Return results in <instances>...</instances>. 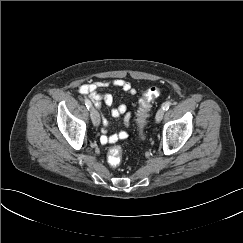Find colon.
<instances>
[{"instance_id": "obj_1", "label": "colon", "mask_w": 243, "mask_h": 243, "mask_svg": "<svg viewBox=\"0 0 243 243\" xmlns=\"http://www.w3.org/2000/svg\"><path fill=\"white\" fill-rule=\"evenodd\" d=\"M160 94V89L157 87L148 88L143 94L142 98L139 100L137 105V116L136 121L140 129L141 137L143 138V127L146 124L149 110L152 105V101L158 97ZM108 163L116 168L121 164L122 160V148L119 145L111 147L107 155Z\"/></svg>"}]
</instances>
